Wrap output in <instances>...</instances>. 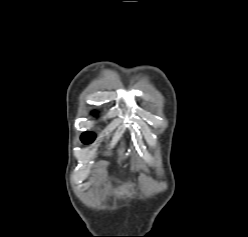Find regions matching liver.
I'll return each instance as SVG.
<instances>
[{
  "mask_svg": "<svg viewBox=\"0 0 248 237\" xmlns=\"http://www.w3.org/2000/svg\"><path fill=\"white\" fill-rule=\"evenodd\" d=\"M131 186L130 185H123L119 190L116 191L117 196H122L124 194L130 193Z\"/></svg>",
  "mask_w": 248,
  "mask_h": 237,
  "instance_id": "liver-1",
  "label": "liver"
}]
</instances>
